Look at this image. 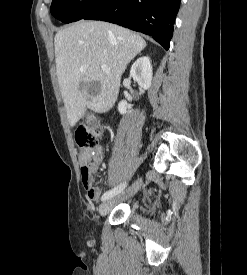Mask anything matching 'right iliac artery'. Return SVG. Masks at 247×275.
Wrapping results in <instances>:
<instances>
[{
    "label": "right iliac artery",
    "instance_id": "obj_1",
    "mask_svg": "<svg viewBox=\"0 0 247 275\" xmlns=\"http://www.w3.org/2000/svg\"><path fill=\"white\" fill-rule=\"evenodd\" d=\"M126 187V183H121L120 185L114 187L113 189L105 192L102 196V201L110 199L111 197L117 195L118 193H120L121 191H123V189Z\"/></svg>",
    "mask_w": 247,
    "mask_h": 275
}]
</instances>
